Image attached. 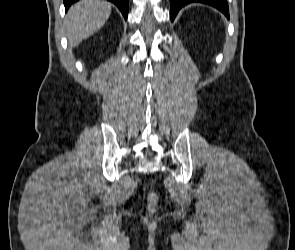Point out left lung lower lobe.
I'll list each match as a JSON object with an SVG mask.
<instances>
[{"instance_id": "1", "label": "left lung lower lobe", "mask_w": 295, "mask_h": 250, "mask_svg": "<svg viewBox=\"0 0 295 250\" xmlns=\"http://www.w3.org/2000/svg\"><path fill=\"white\" fill-rule=\"evenodd\" d=\"M192 2H199V3H205L208 5H211L217 9H219L222 13L226 15L227 18H229V9L227 0H170V6H171V13L170 18L171 21L174 20L175 16L177 15L178 11L185 5L192 3Z\"/></svg>"}]
</instances>
